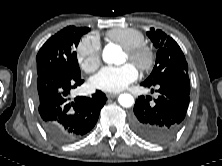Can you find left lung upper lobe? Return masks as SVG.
I'll list each match as a JSON object with an SVG mask.
<instances>
[{
  "label": "left lung upper lobe",
  "instance_id": "1",
  "mask_svg": "<svg viewBox=\"0 0 222 166\" xmlns=\"http://www.w3.org/2000/svg\"><path fill=\"white\" fill-rule=\"evenodd\" d=\"M147 35L158 51L153 71L143 83L154 85L168 77H188V64L179 45L161 30L151 28Z\"/></svg>",
  "mask_w": 222,
  "mask_h": 166
}]
</instances>
